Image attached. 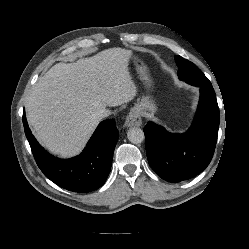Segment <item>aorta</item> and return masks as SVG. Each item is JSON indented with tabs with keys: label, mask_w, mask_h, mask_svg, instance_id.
<instances>
[{
	"label": "aorta",
	"mask_w": 249,
	"mask_h": 249,
	"mask_svg": "<svg viewBox=\"0 0 249 249\" xmlns=\"http://www.w3.org/2000/svg\"><path fill=\"white\" fill-rule=\"evenodd\" d=\"M127 137L133 144H140L145 138L143 130L138 127L130 128L127 132Z\"/></svg>",
	"instance_id": "762f6f07"
}]
</instances>
